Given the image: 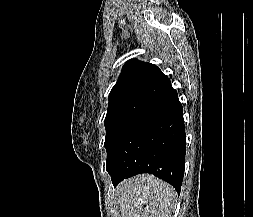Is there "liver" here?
Instances as JSON below:
<instances>
[{"mask_svg": "<svg viewBox=\"0 0 253 217\" xmlns=\"http://www.w3.org/2000/svg\"><path fill=\"white\" fill-rule=\"evenodd\" d=\"M120 217H171L177 193L151 174H141L121 182L116 189Z\"/></svg>", "mask_w": 253, "mask_h": 217, "instance_id": "liver-1", "label": "liver"}]
</instances>
